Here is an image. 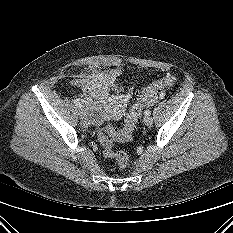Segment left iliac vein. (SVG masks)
<instances>
[{
    "mask_svg": "<svg viewBox=\"0 0 233 233\" xmlns=\"http://www.w3.org/2000/svg\"><path fill=\"white\" fill-rule=\"evenodd\" d=\"M143 121L146 126H151L153 123V119L149 115L148 116L146 115Z\"/></svg>",
    "mask_w": 233,
    "mask_h": 233,
    "instance_id": "left-iliac-vein-1",
    "label": "left iliac vein"
}]
</instances>
